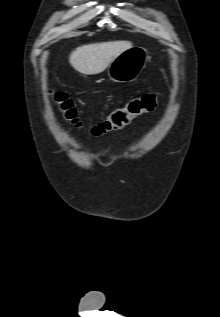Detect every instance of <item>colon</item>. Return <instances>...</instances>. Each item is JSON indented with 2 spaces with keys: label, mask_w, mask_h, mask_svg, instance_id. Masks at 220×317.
Here are the masks:
<instances>
[{
  "label": "colon",
  "mask_w": 220,
  "mask_h": 317,
  "mask_svg": "<svg viewBox=\"0 0 220 317\" xmlns=\"http://www.w3.org/2000/svg\"><path fill=\"white\" fill-rule=\"evenodd\" d=\"M50 97L53 105L66 121L76 128L83 126L78 111L70 98L61 92H51ZM159 104L160 95L158 93H146L135 97L111 111L102 121L95 124L91 128V133L99 136L122 129L138 116L155 110Z\"/></svg>",
  "instance_id": "1"
}]
</instances>
